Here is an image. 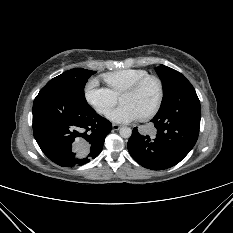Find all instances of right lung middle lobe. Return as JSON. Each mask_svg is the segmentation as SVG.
<instances>
[{
    "instance_id": "obj_1",
    "label": "right lung middle lobe",
    "mask_w": 233,
    "mask_h": 233,
    "mask_svg": "<svg viewBox=\"0 0 233 233\" xmlns=\"http://www.w3.org/2000/svg\"><path fill=\"white\" fill-rule=\"evenodd\" d=\"M95 73L96 71L74 68L53 78L46 86L58 87L86 102L84 87L89 77Z\"/></svg>"
}]
</instances>
